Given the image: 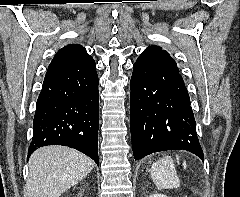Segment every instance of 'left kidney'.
<instances>
[{"label": "left kidney", "instance_id": "5707ae66", "mask_svg": "<svg viewBox=\"0 0 240 197\" xmlns=\"http://www.w3.org/2000/svg\"><path fill=\"white\" fill-rule=\"evenodd\" d=\"M149 197H168V196L164 194L154 193V194H151Z\"/></svg>", "mask_w": 240, "mask_h": 197}]
</instances>
